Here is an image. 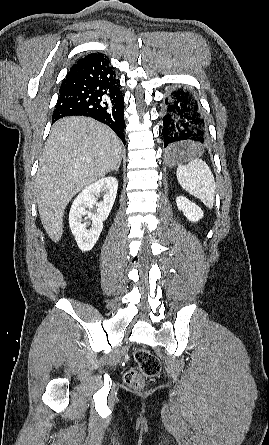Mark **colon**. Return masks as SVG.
Listing matches in <instances>:
<instances>
[{"mask_svg": "<svg viewBox=\"0 0 269 445\" xmlns=\"http://www.w3.org/2000/svg\"><path fill=\"white\" fill-rule=\"evenodd\" d=\"M137 369H130L124 374L125 383L133 389H141L146 378H153L161 371L160 360L150 351L139 348L134 352Z\"/></svg>", "mask_w": 269, "mask_h": 445, "instance_id": "5ec220e1", "label": "colon"}]
</instances>
